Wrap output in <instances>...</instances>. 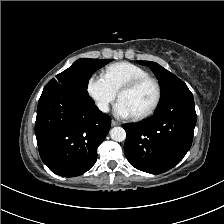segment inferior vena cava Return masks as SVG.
Masks as SVG:
<instances>
[{
    "instance_id": "1",
    "label": "inferior vena cava",
    "mask_w": 224,
    "mask_h": 224,
    "mask_svg": "<svg viewBox=\"0 0 224 224\" xmlns=\"http://www.w3.org/2000/svg\"><path fill=\"white\" fill-rule=\"evenodd\" d=\"M98 108L102 112H108L109 111V106L107 102H99L97 104Z\"/></svg>"
}]
</instances>
